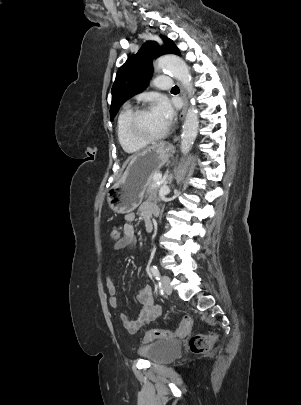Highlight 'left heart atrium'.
<instances>
[{"label":"left heart atrium","mask_w":301,"mask_h":405,"mask_svg":"<svg viewBox=\"0 0 301 405\" xmlns=\"http://www.w3.org/2000/svg\"><path fill=\"white\" fill-rule=\"evenodd\" d=\"M152 110L158 114L167 124H169L174 116V110L165 97H159L155 100Z\"/></svg>","instance_id":"left-heart-atrium-1"}]
</instances>
